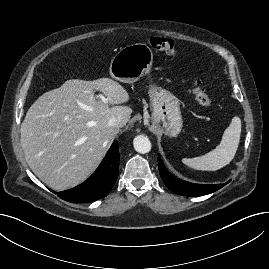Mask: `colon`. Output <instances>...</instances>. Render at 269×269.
Returning a JSON list of instances; mask_svg holds the SVG:
<instances>
[{"mask_svg": "<svg viewBox=\"0 0 269 269\" xmlns=\"http://www.w3.org/2000/svg\"><path fill=\"white\" fill-rule=\"evenodd\" d=\"M149 44L154 50L165 53L167 55L172 56L176 55L177 53L175 42L168 38L151 37L149 39ZM191 93L201 106L208 108L212 105L210 96L206 93L198 80L192 81Z\"/></svg>", "mask_w": 269, "mask_h": 269, "instance_id": "5ec220e1", "label": "colon"}]
</instances>
